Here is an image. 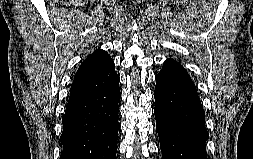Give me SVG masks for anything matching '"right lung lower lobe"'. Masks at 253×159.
Segmentation results:
<instances>
[{
  "label": "right lung lower lobe",
  "instance_id": "98d812e1",
  "mask_svg": "<svg viewBox=\"0 0 253 159\" xmlns=\"http://www.w3.org/2000/svg\"><path fill=\"white\" fill-rule=\"evenodd\" d=\"M119 101L114 62L72 84L62 120L60 159H116Z\"/></svg>",
  "mask_w": 253,
  "mask_h": 159
}]
</instances>
